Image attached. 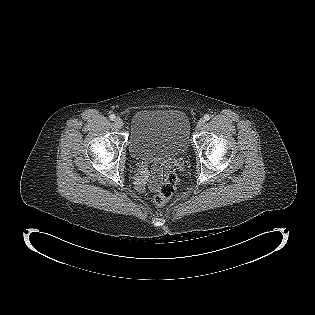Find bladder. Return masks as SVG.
<instances>
[{
	"label": "bladder",
	"instance_id": "31cf9c89",
	"mask_svg": "<svg viewBox=\"0 0 315 315\" xmlns=\"http://www.w3.org/2000/svg\"><path fill=\"white\" fill-rule=\"evenodd\" d=\"M190 143V122L178 109L140 110L130 123L131 156L139 161H161L184 154Z\"/></svg>",
	"mask_w": 315,
	"mask_h": 315
}]
</instances>
